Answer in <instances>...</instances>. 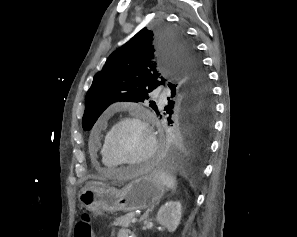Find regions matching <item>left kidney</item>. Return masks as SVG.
Instances as JSON below:
<instances>
[{"mask_svg":"<svg viewBox=\"0 0 297 237\" xmlns=\"http://www.w3.org/2000/svg\"><path fill=\"white\" fill-rule=\"evenodd\" d=\"M182 217V205L178 201L166 202L157 213V221L170 233L175 232Z\"/></svg>","mask_w":297,"mask_h":237,"instance_id":"1","label":"left kidney"}]
</instances>
